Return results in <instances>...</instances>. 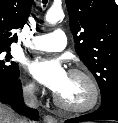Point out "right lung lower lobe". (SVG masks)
I'll use <instances>...</instances> for the list:
<instances>
[{
  "mask_svg": "<svg viewBox=\"0 0 118 123\" xmlns=\"http://www.w3.org/2000/svg\"><path fill=\"white\" fill-rule=\"evenodd\" d=\"M18 78L19 76L14 80H0V102L10 104L25 116L38 120V112L23 105L22 85Z\"/></svg>",
  "mask_w": 118,
  "mask_h": 123,
  "instance_id": "1",
  "label": "right lung lower lobe"
}]
</instances>
